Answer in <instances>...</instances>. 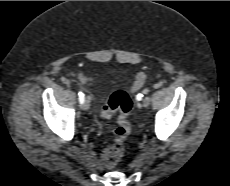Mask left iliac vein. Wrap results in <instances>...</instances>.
I'll use <instances>...</instances> for the list:
<instances>
[{"instance_id": "1", "label": "left iliac vein", "mask_w": 230, "mask_h": 186, "mask_svg": "<svg viewBox=\"0 0 230 186\" xmlns=\"http://www.w3.org/2000/svg\"><path fill=\"white\" fill-rule=\"evenodd\" d=\"M150 98L149 97H146L143 99L142 103L140 104V106L142 107H148L150 105Z\"/></svg>"}]
</instances>
